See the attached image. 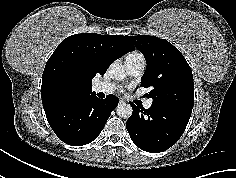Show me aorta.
I'll use <instances>...</instances> for the list:
<instances>
[{
    "instance_id": "obj_1",
    "label": "aorta",
    "mask_w": 236,
    "mask_h": 178,
    "mask_svg": "<svg viewBox=\"0 0 236 178\" xmlns=\"http://www.w3.org/2000/svg\"><path fill=\"white\" fill-rule=\"evenodd\" d=\"M109 73L114 80H122L126 76L125 67L121 63H112L109 67ZM116 111L119 117L127 119L132 115L133 109L130 104L120 103Z\"/></svg>"
}]
</instances>
